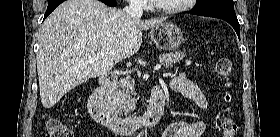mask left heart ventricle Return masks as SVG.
Returning a JSON list of instances; mask_svg holds the SVG:
<instances>
[{"label": "left heart ventricle", "mask_w": 280, "mask_h": 137, "mask_svg": "<svg viewBox=\"0 0 280 137\" xmlns=\"http://www.w3.org/2000/svg\"><path fill=\"white\" fill-rule=\"evenodd\" d=\"M156 2L163 7H174L182 3V0H156Z\"/></svg>", "instance_id": "left-heart-ventricle-1"}]
</instances>
